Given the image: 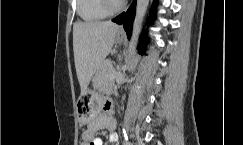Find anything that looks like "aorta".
I'll return each instance as SVG.
<instances>
[{
    "label": "aorta",
    "instance_id": "762f6f07",
    "mask_svg": "<svg viewBox=\"0 0 243 145\" xmlns=\"http://www.w3.org/2000/svg\"><path fill=\"white\" fill-rule=\"evenodd\" d=\"M149 4V0H137L136 4V15L133 23V31L132 36L129 44V56L132 55V53L135 51L139 34L141 31V26L143 23V19L147 10Z\"/></svg>",
    "mask_w": 243,
    "mask_h": 145
}]
</instances>
